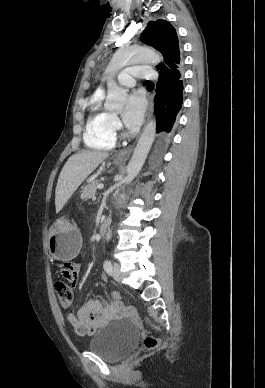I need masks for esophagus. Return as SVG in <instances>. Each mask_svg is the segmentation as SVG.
I'll return each mask as SVG.
<instances>
[{"mask_svg": "<svg viewBox=\"0 0 265 388\" xmlns=\"http://www.w3.org/2000/svg\"><path fill=\"white\" fill-rule=\"evenodd\" d=\"M152 114V105L148 108L146 115H145V122L144 124H147ZM135 147V144L130 145L129 147L125 148L124 150H121L116 154V157L118 160L126 162L128 158L131 156V153Z\"/></svg>", "mask_w": 265, "mask_h": 388, "instance_id": "1", "label": "esophagus"}]
</instances>
